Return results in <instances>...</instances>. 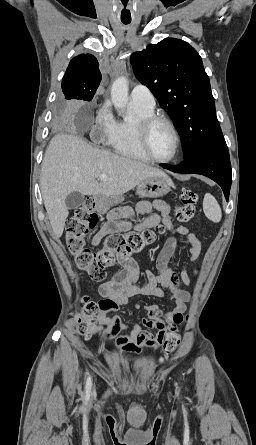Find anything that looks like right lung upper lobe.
I'll use <instances>...</instances> for the list:
<instances>
[{
    "instance_id": "cb5924a9",
    "label": "right lung upper lobe",
    "mask_w": 256,
    "mask_h": 445,
    "mask_svg": "<svg viewBox=\"0 0 256 445\" xmlns=\"http://www.w3.org/2000/svg\"><path fill=\"white\" fill-rule=\"evenodd\" d=\"M102 75L97 59L91 54L74 57L62 79V90L72 99L92 100Z\"/></svg>"
}]
</instances>
